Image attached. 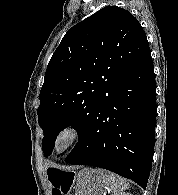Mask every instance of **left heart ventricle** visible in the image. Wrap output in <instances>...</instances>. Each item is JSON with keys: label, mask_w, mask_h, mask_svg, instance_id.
<instances>
[{"label": "left heart ventricle", "mask_w": 178, "mask_h": 195, "mask_svg": "<svg viewBox=\"0 0 178 195\" xmlns=\"http://www.w3.org/2000/svg\"><path fill=\"white\" fill-rule=\"evenodd\" d=\"M66 143H67V140H66V139H62V140L60 141V143H59V146H60V147H63V146L66 145Z\"/></svg>", "instance_id": "obj_1"}]
</instances>
